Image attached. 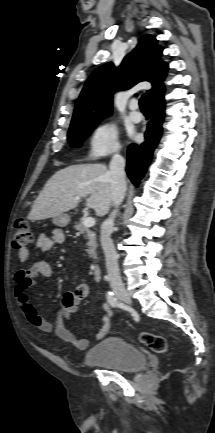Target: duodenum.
Instances as JSON below:
<instances>
[{"instance_id":"obj_1","label":"duodenum","mask_w":215,"mask_h":433,"mask_svg":"<svg viewBox=\"0 0 215 433\" xmlns=\"http://www.w3.org/2000/svg\"><path fill=\"white\" fill-rule=\"evenodd\" d=\"M93 270V277L96 281H101L102 280V270H101V266L99 264H94L92 267Z\"/></svg>"}]
</instances>
